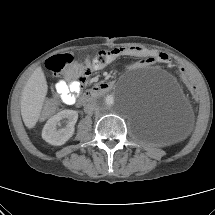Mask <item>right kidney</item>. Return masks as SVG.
<instances>
[{
    "label": "right kidney",
    "instance_id": "right-kidney-1",
    "mask_svg": "<svg viewBox=\"0 0 215 215\" xmlns=\"http://www.w3.org/2000/svg\"><path fill=\"white\" fill-rule=\"evenodd\" d=\"M77 119L78 113L74 110H63L57 113L44 125L42 138L51 145H63L74 134ZM61 120H64L66 125L58 129V126H61Z\"/></svg>",
    "mask_w": 215,
    "mask_h": 215
}]
</instances>
